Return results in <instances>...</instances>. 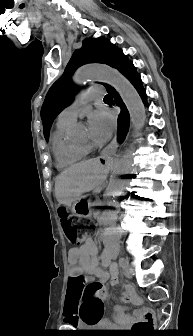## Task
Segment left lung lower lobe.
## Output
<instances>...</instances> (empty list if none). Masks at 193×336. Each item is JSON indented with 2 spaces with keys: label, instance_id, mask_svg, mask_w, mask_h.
Segmentation results:
<instances>
[{
  "label": "left lung lower lobe",
  "instance_id": "0a47b994",
  "mask_svg": "<svg viewBox=\"0 0 193 336\" xmlns=\"http://www.w3.org/2000/svg\"><path fill=\"white\" fill-rule=\"evenodd\" d=\"M114 68L122 73L135 87L144 104H146V92L143 89L140 75L136 72V69L132 62L123 54L122 51L116 57ZM106 89L108 93L115 98L117 106L121 107V113L118 116V140L121 142L124 140L128 128H129V112L123 103L118 92L111 86L107 85Z\"/></svg>",
  "mask_w": 193,
  "mask_h": 336
}]
</instances>
